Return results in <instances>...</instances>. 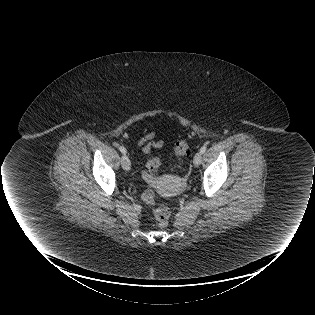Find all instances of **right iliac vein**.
I'll list each match as a JSON object with an SVG mask.
<instances>
[{"instance_id": "63e3f726", "label": "right iliac vein", "mask_w": 315, "mask_h": 315, "mask_svg": "<svg viewBox=\"0 0 315 315\" xmlns=\"http://www.w3.org/2000/svg\"><path fill=\"white\" fill-rule=\"evenodd\" d=\"M121 164H122V167L125 171H129L130 168H131V162L128 158L127 155H123L122 158H121Z\"/></svg>"}]
</instances>
